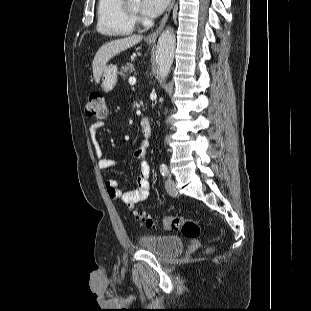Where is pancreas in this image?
<instances>
[{"label": "pancreas", "instance_id": "1", "mask_svg": "<svg viewBox=\"0 0 311 311\" xmlns=\"http://www.w3.org/2000/svg\"><path fill=\"white\" fill-rule=\"evenodd\" d=\"M134 71V65L132 63H127L126 65L122 66L121 71L119 74L123 77L130 75Z\"/></svg>", "mask_w": 311, "mask_h": 311}]
</instances>
